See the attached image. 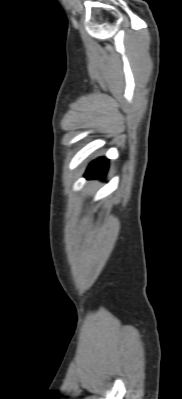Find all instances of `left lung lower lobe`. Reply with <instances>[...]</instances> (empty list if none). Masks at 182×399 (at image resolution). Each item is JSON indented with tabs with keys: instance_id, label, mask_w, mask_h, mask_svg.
Here are the masks:
<instances>
[{
	"instance_id": "obj_1",
	"label": "left lung lower lobe",
	"mask_w": 182,
	"mask_h": 399,
	"mask_svg": "<svg viewBox=\"0 0 182 399\" xmlns=\"http://www.w3.org/2000/svg\"><path fill=\"white\" fill-rule=\"evenodd\" d=\"M108 169V159L101 157L95 161H93L86 173L85 177L86 178H102L105 176L106 172Z\"/></svg>"
}]
</instances>
